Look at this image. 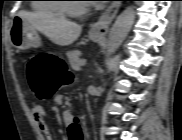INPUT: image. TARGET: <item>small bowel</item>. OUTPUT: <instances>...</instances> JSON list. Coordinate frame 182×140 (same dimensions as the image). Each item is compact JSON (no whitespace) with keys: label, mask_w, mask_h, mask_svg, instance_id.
I'll return each instance as SVG.
<instances>
[{"label":"small bowel","mask_w":182,"mask_h":140,"mask_svg":"<svg viewBox=\"0 0 182 140\" xmlns=\"http://www.w3.org/2000/svg\"><path fill=\"white\" fill-rule=\"evenodd\" d=\"M32 115L33 118L38 126V128L40 129V131L42 132L45 140H54L52 133L50 131V128L46 122V111L44 109L43 106L41 105H34L32 107ZM70 117H66V121L69 122L70 121Z\"/></svg>","instance_id":"small-bowel-1"}]
</instances>
